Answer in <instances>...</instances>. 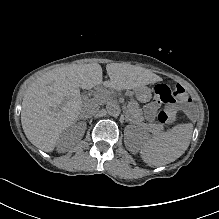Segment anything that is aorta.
Returning <instances> with one entry per match:
<instances>
[{"label": "aorta", "mask_w": 219, "mask_h": 219, "mask_svg": "<svg viewBox=\"0 0 219 219\" xmlns=\"http://www.w3.org/2000/svg\"><path fill=\"white\" fill-rule=\"evenodd\" d=\"M106 110L112 117H118L121 113V108L115 100H110L107 102Z\"/></svg>", "instance_id": "obj_1"}]
</instances>
